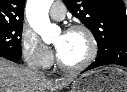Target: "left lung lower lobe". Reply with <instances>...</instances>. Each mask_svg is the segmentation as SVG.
I'll use <instances>...</instances> for the list:
<instances>
[{"mask_svg": "<svg viewBox=\"0 0 127 92\" xmlns=\"http://www.w3.org/2000/svg\"><path fill=\"white\" fill-rule=\"evenodd\" d=\"M108 64L127 67V42L114 43L102 53H98L96 60L83 72Z\"/></svg>", "mask_w": 127, "mask_h": 92, "instance_id": "left-lung-lower-lobe-1", "label": "left lung lower lobe"}]
</instances>
